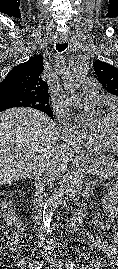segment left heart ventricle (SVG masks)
I'll use <instances>...</instances> for the list:
<instances>
[{
  "label": "left heart ventricle",
  "mask_w": 118,
  "mask_h": 269,
  "mask_svg": "<svg viewBox=\"0 0 118 269\" xmlns=\"http://www.w3.org/2000/svg\"><path fill=\"white\" fill-rule=\"evenodd\" d=\"M94 133L97 137L118 143V114L98 118L95 122Z\"/></svg>",
  "instance_id": "b2bd125f"
}]
</instances>
